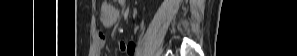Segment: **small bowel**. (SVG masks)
Masks as SVG:
<instances>
[{"mask_svg": "<svg viewBox=\"0 0 297 56\" xmlns=\"http://www.w3.org/2000/svg\"><path fill=\"white\" fill-rule=\"evenodd\" d=\"M125 4H126L125 0H118L117 5L110 2L103 3L101 6V12H100V18L103 24L108 27L113 25L119 17L120 8L125 6ZM105 46H106V37L103 33H99L98 43H97L98 55L100 51L105 48ZM119 48L120 50L126 51L128 53H132L134 50L133 44H127L123 41L119 43Z\"/></svg>", "mask_w": 297, "mask_h": 56, "instance_id": "obj_1", "label": "small bowel"}]
</instances>
